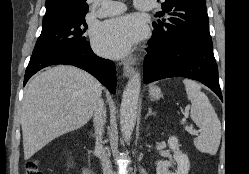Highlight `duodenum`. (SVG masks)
I'll return each mask as SVG.
<instances>
[{
  "mask_svg": "<svg viewBox=\"0 0 249 174\" xmlns=\"http://www.w3.org/2000/svg\"><path fill=\"white\" fill-rule=\"evenodd\" d=\"M82 174H95L94 168H92L91 166H89L87 164V160L86 159H84V161H83Z\"/></svg>",
  "mask_w": 249,
  "mask_h": 174,
  "instance_id": "duodenum-1",
  "label": "duodenum"
}]
</instances>
